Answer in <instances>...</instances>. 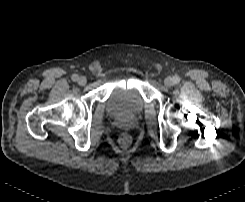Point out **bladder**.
<instances>
[{"mask_svg":"<svg viewBox=\"0 0 245 202\" xmlns=\"http://www.w3.org/2000/svg\"><path fill=\"white\" fill-rule=\"evenodd\" d=\"M145 101L137 81H114L111 92L105 101V113L108 117L132 118L143 112Z\"/></svg>","mask_w":245,"mask_h":202,"instance_id":"obj_1","label":"bladder"}]
</instances>
